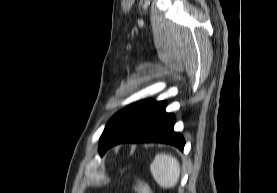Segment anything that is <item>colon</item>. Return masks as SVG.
<instances>
[{
  "instance_id": "colon-1",
  "label": "colon",
  "mask_w": 277,
  "mask_h": 193,
  "mask_svg": "<svg viewBox=\"0 0 277 193\" xmlns=\"http://www.w3.org/2000/svg\"><path fill=\"white\" fill-rule=\"evenodd\" d=\"M131 186L135 193H153L151 186L138 177L132 179Z\"/></svg>"
}]
</instances>
